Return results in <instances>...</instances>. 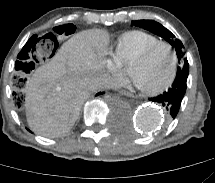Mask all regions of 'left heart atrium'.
<instances>
[{
	"mask_svg": "<svg viewBox=\"0 0 215 183\" xmlns=\"http://www.w3.org/2000/svg\"><path fill=\"white\" fill-rule=\"evenodd\" d=\"M135 83H136L137 86H139L138 83H137V81H135ZM139 87H140V86H139Z\"/></svg>",
	"mask_w": 215,
	"mask_h": 183,
	"instance_id": "39dd6f15",
	"label": "left heart atrium"
}]
</instances>
